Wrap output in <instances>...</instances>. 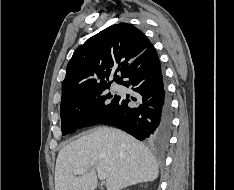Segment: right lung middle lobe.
Instances as JSON below:
<instances>
[{
	"instance_id": "dd1d6c3e",
	"label": "right lung middle lobe",
	"mask_w": 234,
	"mask_h": 190,
	"mask_svg": "<svg viewBox=\"0 0 234 190\" xmlns=\"http://www.w3.org/2000/svg\"><path fill=\"white\" fill-rule=\"evenodd\" d=\"M109 87L86 92L61 103L62 135L96 125L114 110L119 102V96L106 93L105 90Z\"/></svg>"
}]
</instances>
